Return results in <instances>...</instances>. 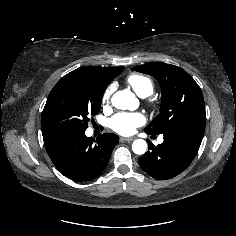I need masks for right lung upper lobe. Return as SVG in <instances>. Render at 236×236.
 I'll return each mask as SVG.
<instances>
[{"label":"right lung upper lobe","instance_id":"1","mask_svg":"<svg viewBox=\"0 0 236 236\" xmlns=\"http://www.w3.org/2000/svg\"><path fill=\"white\" fill-rule=\"evenodd\" d=\"M123 67H118V68H105V67H95V66H86V67H81L78 68L68 74H79L82 75L83 77L86 78H97L99 76V73H104L105 75H113L120 71ZM44 139V144H48L54 139H48V138H43Z\"/></svg>","mask_w":236,"mask_h":236}]
</instances>
